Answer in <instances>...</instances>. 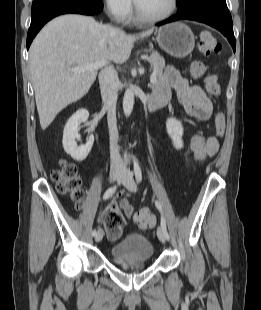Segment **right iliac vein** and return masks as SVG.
<instances>
[{"instance_id": "63e3f726", "label": "right iliac vein", "mask_w": 261, "mask_h": 310, "mask_svg": "<svg viewBox=\"0 0 261 310\" xmlns=\"http://www.w3.org/2000/svg\"><path fill=\"white\" fill-rule=\"evenodd\" d=\"M120 176H121V170L118 168H113L110 171L109 180L111 183H113L114 181L119 179ZM103 235H104L103 230L99 229L97 234L95 235V241L100 242L103 238Z\"/></svg>"}]
</instances>
